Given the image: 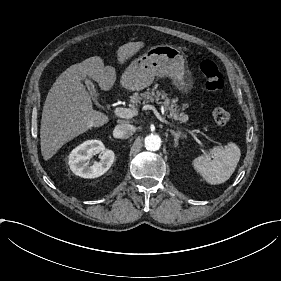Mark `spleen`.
Returning <instances> with one entry per match:
<instances>
[{"label": "spleen", "mask_w": 281, "mask_h": 281, "mask_svg": "<svg viewBox=\"0 0 281 281\" xmlns=\"http://www.w3.org/2000/svg\"><path fill=\"white\" fill-rule=\"evenodd\" d=\"M241 152L235 143L227 146H216L193 160V166L207 183L216 185L227 181L234 173L239 162ZM213 158V159H211Z\"/></svg>", "instance_id": "1"}]
</instances>
